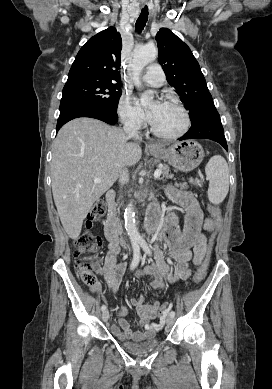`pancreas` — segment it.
I'll return each mask as SVG.
<instances>
[{"mask_svg": "<svg viewBox=\"0 0 272 389\" xmlns=\"http://www.w3.org/2000/svg\"><path fill=\"white\" fill-rule=\"evenodd\" d=\"M161 170L163 171V178L169 179V178L172 177V175L169 174L170 169H169V167L167 165L162 166ZM191 182H192V180H191ZM196 184L200 185V183L198 181H196ZM180 187L187 188V184L186 183H181ZM112 211H115V207L114 206L112 207Z\"/></svg>", "mask_w": 272, "mask_h": 389, "instance_id": "1", "label": "pancreas"}]
</instances>
